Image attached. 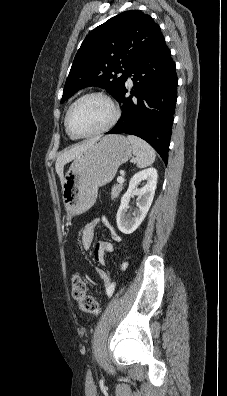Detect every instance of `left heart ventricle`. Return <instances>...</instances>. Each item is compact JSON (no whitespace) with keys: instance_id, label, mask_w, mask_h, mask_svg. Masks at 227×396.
<instances>
[{"instance_id":"b2bd125f","label":"left heart ventricle","mask_w":227,"mask_h":396,"mask_svg":"<svg viewBox=\"0 0 227 396\" xmlns=\"http://www.w3.org/2000/svg\"><path fill=\"white\" fill-rule=\"evenodd\" d=\"M111 116L112 110L104 99L90 97L73 108L69 123L75 133L86 134L104 126Z\"/></svg>"}]
</instances>
